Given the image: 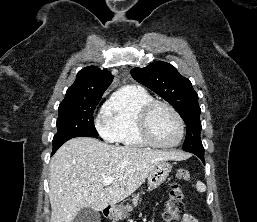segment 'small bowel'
Instances as JSON below:
<instances>
[{
  "instance_id": "obj_1",
  "label": "small bowel",
  "mask_w": 257,
  "mask_h": 222,
  "mask_svg": "<svg viewBox=\"0 0 257 222\" xmlns=\"http://www.w3.org/2000/svg\"><path fill=\"white\" fill-rule=\"evenodd\" d=\"M181 222H198V220L191 214H184Z\"/></svg>"
}]
</instances>
